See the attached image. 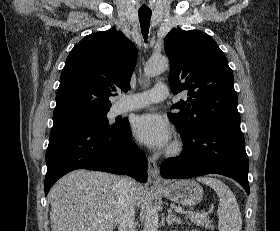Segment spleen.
<instances>
[{"label":"spleen","mask_w":280,"mask_h":231,"mask_svg":"<svg viewBox=\"0 0 280 231\" xmlns=\"http://www.w3.org/2000/svg\"><path fill=\"white\" fill-rule=\"evenodd\" d=\"M197 179L217 191L219 197L217 209L219 231H241L242 219L239 205L228 185H225L223 181L216 179V177H197Z\"/></svg>","instance_id":"spleen-1"}]
</instances>
